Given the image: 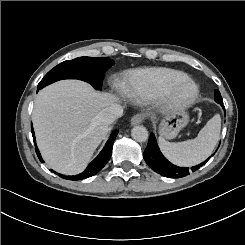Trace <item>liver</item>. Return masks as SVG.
<instances>
[{
  "instance_id": "liver-1",
  "label": "liver",
  "mask_w": 245,
  "mask_h": 245,
  "mask_svg": "<svg viewBox=\"0 0 245 245\" xmlns=\"http://www.w3.org/2000/svg\"><path fill=\"white\" fill-rule=\"evenodd\" d=\"M122 99L85 81L62 79L36 95L31 114L36 144L46 164L63 175L82 173L110 133L99 114Z\"/></svg>"
}]
</instances>
